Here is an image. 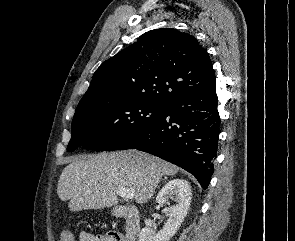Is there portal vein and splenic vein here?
I'll return each instance as SVG.
<instances>
[{"label": "portal vein and splenic vein", "mask_w": 295, "mask_h": 241, "mask_svg": "<svg viewBox=\"0 0 295 241\" xmlns=\"http://www.w3.org/2000/svg\"><path fill=\"white\" fill-rule=\"evenodd\" d=\"M116 194L123 197V198H125V199H127V200H130V199H132L134 197L135 190L132 189V188H123V187H121V188H118L116 190Z\"/></svg>", "instance_id": "portal-vein-and-splenic-vein-1"}]
</instances>
